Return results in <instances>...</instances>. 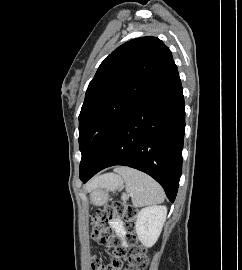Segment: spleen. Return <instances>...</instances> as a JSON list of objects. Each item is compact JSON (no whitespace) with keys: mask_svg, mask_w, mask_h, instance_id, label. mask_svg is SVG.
<instances>
[{"mask_svg":"<svg viewBox=\"0 0 242 270\" xmlns=\"http://www.w3.org/2000/svg\"><path fill=\"white\" fill-rule=\"evenodd\" d=\"M117 172L125 181L126 193L122 194V199L125 200L130 196L136 207L164 201L165 193L162 187L149 175L129 167H122Z\"/></svg>","mask_w":242,"mask_h":270,"instance_id":"3e777b00","label":"spleen"}]
</instances>
